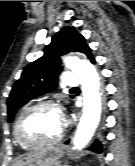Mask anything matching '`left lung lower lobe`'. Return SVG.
<instances>
[{
	"label": "left lung lower lobe",
	"mask_w": 135,
	"mask_h": 166,
	"mask_svg": "<svg viewBox=\"0 0 135 166\" xmlns=\"http://www.w3.org/2000/svg\"><path fill=\"white\" fill-rule=\"evenodd\" d=\"M91 62H92L93 64L96 63L94 59H92ZM66 143H68V141H67ZM89 150L94 151V152H97V153H101V152H102V144H101V142L98 141V140H96V141L93 143V145L89 148Z\"/></svg>",
	"instance_id": "obj_1"
}]
</instances>
